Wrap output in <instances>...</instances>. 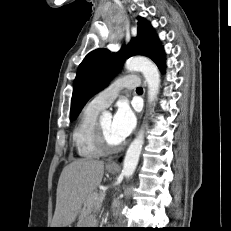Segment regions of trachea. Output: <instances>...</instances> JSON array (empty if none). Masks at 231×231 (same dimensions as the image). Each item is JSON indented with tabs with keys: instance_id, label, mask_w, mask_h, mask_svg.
I'll use <instances>...</instances> for the list:
<instances>
[{
	"instance_id": "1",
	"label": "trachea",
	"mask_w": 231,
	"mask_h": 231,
	"mask_svg": "<svg viewBox=\"0 0 231 231\" xmlns=\"http://www.w3.org/2000/svg\"><path fill=\"white\" fill-rule=\"evenodd\" d=\"M136 91H143V89H142V87H138L137 89H136Z\"/></svg>"
}]
</instances>
